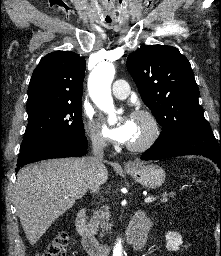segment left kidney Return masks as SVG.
<instances>
[{
	"label": "left kidney",
	"instance_id": "1",
	"mask_svg": "<svg viewBox=\"0 0 221 256\" xmlns=\"http://www.w3.org/2000/svg\"><path fill=\"white\" fill-rule=\"evenodd\" d=\"M166 248L168 251H177L182 245V237L177 232L169 231L166 235Z\"/></svg>",
	"mask_w": 221,
	"mask_h": 256
}]
</instances>
